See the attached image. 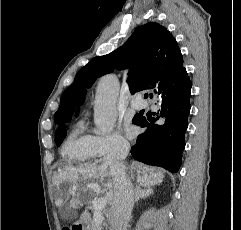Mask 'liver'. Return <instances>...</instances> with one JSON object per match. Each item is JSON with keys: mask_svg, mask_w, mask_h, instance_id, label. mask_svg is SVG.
I'll return each mask as SVG.
<instances>
[{"mask_svg": "<svg viewBox=\"0 0 241 230\" xmlns=\"http://www.w3.org/2000/svg\"><path fill=\"white\" fill-rule=\"evenodd\" d=\"M109 166L104 160L96 161L80 165L79 167L68 166L63 168L58 175V183L67 180L72 184L69 189L72 194L69 207L64 211L67 215L71 209H78L82 207L80 194L82 191L95 190L94 187L98 186L105 193V197L109 203H112L114 197V185L112 175L108 168ZM137 182L143 187H153L160 185L164 179V173L160 170L153 171L147 167L141 166L137 170ZM56 206L61 208L64 200L60 197L55 202Z\"/></svg>", "mask_w": 241, "mask_h": 230, "instance_id": "obj_1", "label": "liver"}]
</instances>
